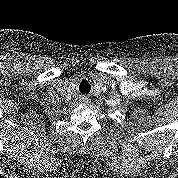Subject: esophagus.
<instances>
[{"mask_svg": "<svg viewBox=\"0 0 178 178\" xmlns=\"http://www.w3.org/2000/svg\"><path fill=\"white\" fill-rule=\"evenodd\" d=\"M80 102L82 103V104H89L90 103V99H89V97L87 96V95H83V96H81V98H80Z\"/></svg>", "mask_w": 178, "mask_h": 178, "instance_id": "esophagus-1", "label": "esophagus"}]
</instances>
